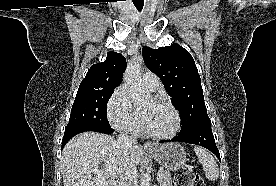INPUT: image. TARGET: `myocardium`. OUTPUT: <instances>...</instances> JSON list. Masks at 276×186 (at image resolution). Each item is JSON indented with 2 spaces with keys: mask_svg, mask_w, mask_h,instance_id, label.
<instances>
[{
  "mask_svg": "<svg viewBox=\"0 0 276 186\" xmlns=\"http://www.w3.org/2000/svg\"><path fill=\"white\" fill-rule=\"evenodd\" d=\"M153 101L155 103L163 104V105L168 106L173 111V113L175 115L176 124H175L174 129L172 131L168 132V133H154V132L150 131L147 128V126L144 122V119L142 117V130H143V132L146 135H148L149 137H152V138H155V139H169V138L174 137L179 132V130L181 128V123H182L181 115H180L179 111L169 100H167L165 98H155Z\"/></svg>",
  "mask_w": 276,
  "mask_h": 186,
  "instance_id": "f54148a6",
  "label": "myocardium"
}]
</instances>
